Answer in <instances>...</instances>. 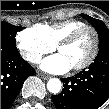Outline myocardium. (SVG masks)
Segmentation results:
<instances>
[{"label": "myocardium", "instance_id": "obj_1", "mask_svg": "<svg viewBox=\"0 0 109 109\" xmlns=\"http://www.w3.org/2000/svg\"><path fill=\"white\" fill-rule=\"evenodd\" d=\"M92 31L94 34V45H93V49L92 52L90 54V56L81 64L71 67L72 70L74 71H80L83 70L87 67H89L95 60L97 54H98V50H99V45H100V36H99V32L97 31V29L91 25H85L82 26L78 29H76L75 31H73L71 34H69L67 37H65L64 39H62L58 44H57V50L60 52V50L66 46H69L71 44H73L78 37L84 32V31Z\"/></svg>", "mask_w": 109, "mask_h": 109}]
</instances>
